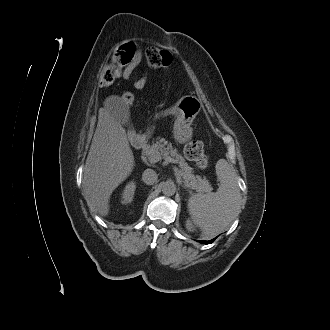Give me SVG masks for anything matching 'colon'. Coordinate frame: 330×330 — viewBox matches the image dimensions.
Returning a JSON list of instances; mask_svg holds the SVG:
<instances>
[{"label": "colon", "instance_id": "5ec220e1", "mask_svg": "<svg viewBox=\"0 0 330 330\" xmlns=\"http://www.w3.org/2000/svg\"><path fill=\"white\" fill-rule=\"evenodd\" d=\"M135 51L136 47L133 43H126L118 47L113 52L108 64L101 71V84L109 85L113 83L118 73L132 62ZM145 58L151 69L164 68L172 62L171 54L168 51L154 47L146 50ZM121 101L126 106H131L134 102V95L131 92H124L121 95ZM184 152L186 157L194 161L200 169H205L208 166L209 159L201 141L188 142L185 145Z\"/></svg>", "mask_w": 330, "mask_h": 330}]
</instances>
